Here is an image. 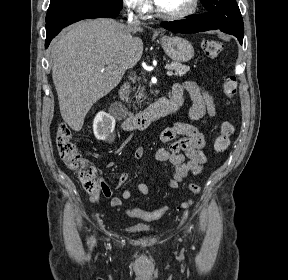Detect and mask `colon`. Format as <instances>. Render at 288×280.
<instances>
[{
	"mask_svg": "<svg viewBox=\"0 0 288 280\" xmlns=\"http://www.w3.org/2000/svg\"><path fill=\"white\" fill-rule=\"evenodd\" d=\"M201 48L203 53L211 59L218 57L223 51V43L207 39L202 41ZM237 79L235 76H228L223 83L225 95L232 101L237 93ZM234 132V127L229 122H224L221 126V133L214 141V150L223 152L227 149L230 142V136ZM56 144L60 158L64 164L77 173L84 189L91 195H99L102 191V183L98 178L96 167L86 158H84L72 138V131L68 125L62 123L59 125L56 134ZM189 191L192 195H198L201 187L196 183L189 185ZM192 203L191 200L181 204V208H186ZM166 208L162 207L153 211H146L140 208H129L126 214L133 218H140L146 221H152L165 214Z\"/></svg>",
	"mask_w": 288,
	"mask_h": 280,
	"instance_id": "colon-1",
	"label": "colon"
}]
</instances>
